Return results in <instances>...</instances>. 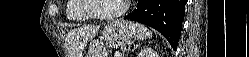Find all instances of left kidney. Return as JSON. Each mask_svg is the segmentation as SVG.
<instances>
[{"instance_id": "1", "label": "left kidney", "mask_w": 249, "mask_h": 57, "mask_svg": "<svg viewBox=\"0 0 249 57\" xmlns=\"http://www.w3.org/2000/svg\"><path fill=\"white\" fill-rule=\"evenodd\" d=\"M137 57H159V54L157 52H155L153 49H151L150 47L144 48L142 49Z\"/></svg>"}]
</instances>
